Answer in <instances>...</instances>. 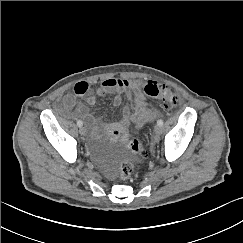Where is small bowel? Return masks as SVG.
Masks as SVG:
<instances>
[{
	"label": "small bowel",
	"mask_w": 243,
	"mask_h": 243,
	"mask_svg": "<svg viewBox=\"0 0 243 243\" xmlns=\"http://www.w3.org/2000/svg\"><path fill=\"white\" fill-rule=\"evenodd\" d=\"M141 87L140 81L126 78H106L98 88L81 81L75 84L73 94H67L60 100L59 107L63 110L75 107L76 113L90 122L94 133L106 134L110 141H127L131 127L140 128L158 116L157 109L147 103ZM102 95H113L115 106L122 103L123 95L128 97L129 103L124 107L119 121H100L90 114L87 106L76 103L77 97H83L88 105H93L97 96Z\"/></svg>",
	"instance_id": "obj_1"
}]
</instances>
